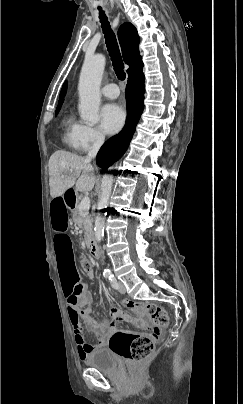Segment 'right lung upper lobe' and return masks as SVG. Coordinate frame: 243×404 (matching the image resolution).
I'll list each match as a JSON object with an SVG mask.
<instances>
[{"instance_id":"right-lung-upper-lobe-1","label":"right lung upper lobe","mask_w":243,"mask_h":404,"mask_svg":"<svg viewBox=\"0 0 243 404\" xmlns=\"http://www.w3.org/2000/svg\"><path fill=\"white\" fill-rule=\"evenodd\" d=\"M118 38L122 49L123 59L130 67L127 70L128 76L132 77L142 71L143 62L139 55L140 38L136 28L131 23H124L118 30ZM67 89V82L64 83L60 92L58 107H61Z\"/></svg>"}]
</instances>
